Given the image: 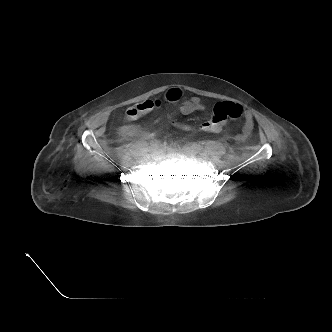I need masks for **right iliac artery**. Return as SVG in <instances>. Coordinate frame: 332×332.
I'll return each instance as SVG.
<instances>
[{
    "mask_svg": "<svg viewBox=\"0 0 332 332\" xmlns=\"http://www.w3.org/2000/svg\"><path fill=\"white\" fill-rule=\"evenodd\" d=\"M161 147V143L158 140L153 141L149 146V151L153 152Z\"/></svg>",
    "mask_w": 332,
    "mask_h": 332,
    "instance_id": "obj_1",
    "label": "right iliac artery"
}]
</instances>
